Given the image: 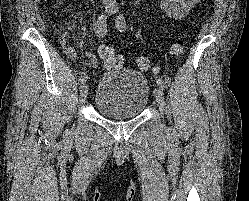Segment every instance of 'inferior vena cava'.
Segmentation results:
<instances>
[{
  "label": "inferior vena cava",
  "instance_id": "1",
  "mask_svg": "<svg viewBox=\"0 0 249 201\" xmlns=\"http://www.w3.org/2000/svg\"><path fill=\"white\" fill-rule=\"evenodd\" d=\"M103 3L106 5V6H113L116 4V0H103Z\"/></svg>",
  "mask_w": 249,
  "mask_h": 201
}]
</instances>
